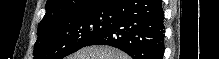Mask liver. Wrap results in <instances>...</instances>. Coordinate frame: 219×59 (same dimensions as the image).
Masks as SVG:
<instances>
[{"label": "liver", "mask_w": 219, "mask_h": 59, "mask_svg": "<svg viewBox=\"0 0 219 59\" xmlns=\"http://www.w3.org/2000/svg\"><path fill=\"white\" fill-rule=\"evenodd\" d=\"M67 59H130L124 52L108 46L84 47Z\"/></svg>", "instance_id": "6515ba94"}]
</instances>
